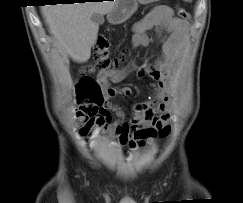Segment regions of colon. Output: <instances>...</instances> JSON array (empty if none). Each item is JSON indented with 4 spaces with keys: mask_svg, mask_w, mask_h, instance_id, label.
<instances>
[{
    "mask_svg": "<svg viewBox=\"0 0 243 203\" xmlns=\"http://www.w3.org/2000/svg\"><path fill=\"white\" fill-rule=\"evenodd\" d=\"M178 16L182 20H189V13L183 9H178ZM110 42L105 37H99L94 44L93 64L84 70L82 76L76 83L80 108L78 116L81 120L88 121L100 110L104 102V93L98 80L87 73L96 71L115 70L126 57V50L119 55L111 57L109 55Z\"/></svg>",
    "mask_w": 243,
    "mask_h": 203,
    "instance_id": "5ec220e1",
    "label": "colon"
}]
</instances>
